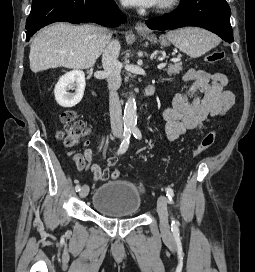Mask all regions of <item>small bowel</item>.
<instances>
[{"label": "small bowel", "instance_id": "small-bowel-1", "mask_svg": "<svg viewBox=\"0 0 255 272\" xmlns=\"http://www.w3.org/2000/svg\"><path fill=\"white\" fill-rule=\"evenodd\" d=\"M182 79L189 82L190 86L177 93L172 105L160 112L168 141H175L190 132L201 131L211 118L223 115L235 102V96L229 89V81L224 73L190 68ZM108 152L105 168L93 163V152L90 148H85L83 152H74L72 160L79 170H83L88 164L94 180L106 181L112 178L110 167L116 162L110 147Z\"/></svg>", "mask_w": 255, "mask_h": 272}]
</instances>
